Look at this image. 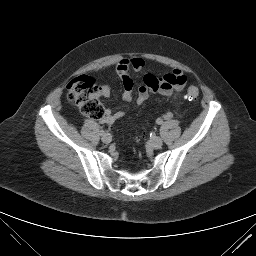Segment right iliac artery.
<instances>
[{"label": "right iliac artery", "mask_w": 256, "mask_h": 256, "mask_svg": "<svg viewBox=\"0 0 256 256\" xmlns=\"http://www.w3.org/2000/svg\"><path fill=\"white\" fill-rule=\"evenodd\" d=\"M104 134H106V132L104 130H101L100 135L103 136Z\"/></svg>", "instance_id": "obj_1"}]
</instances>
